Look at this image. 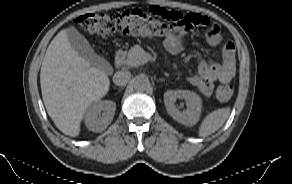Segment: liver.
Returning <instances> with one entry per match:
<instances>
[{
    "label": "liver",
    "mask_w": 292,
    "mask_h": 184,
    "mask_svg": "<svg viewBox=\"0 0 292 184\" xmlns=\"http://www.w3.org/2000/svg\"><path fill=\"white\" fill-rule=\"evenodd\" d=\"M67 30H61L47 48L40 85L45 108L56 127L76 137L87 108L107 94L110 80L71 47Z\"/></svg>",
    "instance_id": "liver-1"
}]
</instances>
